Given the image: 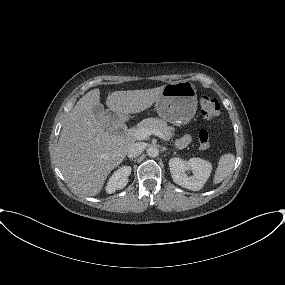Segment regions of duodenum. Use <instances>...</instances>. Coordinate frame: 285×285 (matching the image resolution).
<instances>
[{
  "instance_id": "obj_1",
  "label": "duodenum",
  "mask_w": 285,
  "mask_h": 285,
  "mask_svg": "<svg viewBox=\"0 0 285 285\" xmlns=\"http://www.w3.org/2000/svg\"><path fill=\"white\" fill-rule=\"evenodd\" d=\"M110 132L118 137H123L125 135L124 123L114 120L111 124Z\"/></svg>"
}]
</instances>
